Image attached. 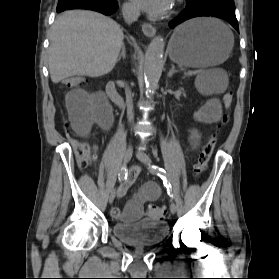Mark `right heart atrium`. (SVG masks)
I'll list each match as a JSON object with an SVG mask.
<instances>
[{
  "mask_svg": "<svg viewBox=\"0 0 279 279\" xmlns=\"http://www.w3.org/2000/svg\"><path fill=\"white\" fill-rule=\"evenodd\" d=\"M124 11L128 14V15H133L135 14L136 10L135 7L132 4H125L124 5Z\"/></svg>",
  "mask_w": 279,
  "mask_h": 279,
  "instance_id": "d8ad5b80",
  "label": "right heart atrium"
}]
</instances>
